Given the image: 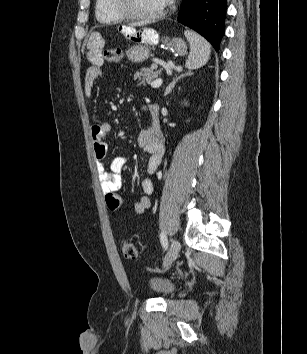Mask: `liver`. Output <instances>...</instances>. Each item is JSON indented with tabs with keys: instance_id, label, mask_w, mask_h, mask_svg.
Masks as SVG:
<instances>
[{
	"instance_id": "liver-1",
	"label": "liver",
	"mask_w": 307,
	"mask_h": 354,
	"mask_svg": "<svg viewBox=\"0 0 307 354\" xmlns=\"http://www.w3.org/2000/svg\"><path fill=\"white\" fill-rule=\"evenodd\" d=\"M143 25H144L143 22H138V23L131 24V27H140V26H143Z\"/></svg>"
}]
</instances>
